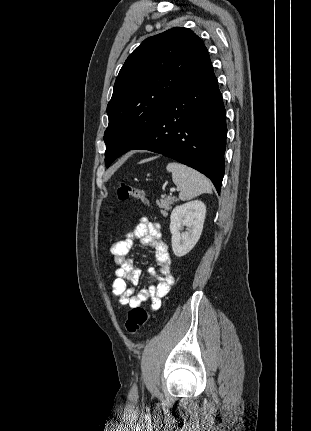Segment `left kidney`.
<instances>
[{"label": "left kidney", "mask_w": 311, "mask_h": 431, "mask_svg": "<svg viewBox=\"0 0 311 431\" xmlns=\"http://www.w3.org/2000/svg\"><path fill=\"white\" fill-rule=\"evenodd\" d=\"M206 206L199 200L176 206L170 217L171 245L177 257L186 255L197 243L203 229ZM186 225L187 231H180Z\"/></svg>", "instance_id": "5707ae66"}]
</instances>
